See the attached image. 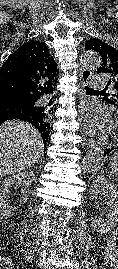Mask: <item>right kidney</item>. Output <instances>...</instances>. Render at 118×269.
Segmentation results:
<instances>
[{"mask_svg": "<svg viewBox=\"0 0 118 269\" xmlns=\"http://www.w3.org/2000/svg\"><path fill=\"white\" fill-rule=\"evenodd\" d=\"M35 177L32 172H19L17 174H14L8 178H5L3 182L0 185V217L1 218H7L11 215L13 212V207L9 205L8 203V197L10 188L16 184L20 185L21 193L23 196H26L29 193V187L33 183ZM23 201H26L25 198H23Z\"/></svg>", "mask_w": 118, "mask_h": 269, "instance_id": "right-kidney-1", "label": "right kidney"}]
</instances>
